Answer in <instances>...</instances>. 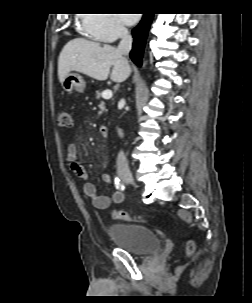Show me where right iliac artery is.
I'll return each mask as SVG.
<instances>
[{
    "label": "right iliac artery",
    "instance_id": "1",
    "mask_svg": "<svg viewBox=\"0 0 252 303\" xmlns=\"http://www.w3.org/2000/svg\"><path fill=\"white\" fill-rule=\"evenodd\" d=\"M114 183L117 189L122 191L125 189V185L121 182V180L118 177L114 178Z\"/></svg>",
    "mask_w": 252,
    "mask_h": 303
}]
</instances>
